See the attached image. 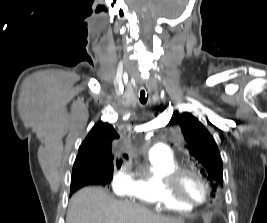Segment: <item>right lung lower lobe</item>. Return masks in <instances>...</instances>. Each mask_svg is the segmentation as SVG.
<instances>
[{
    "label": "right lung lower lobe",
    "instance_id": "obj_1",
    "mask_svg": "<svg viewBox=\"0 0 267 223\" xmlns=\"http://www.w3.org/2000/svg\"><path fill=\"white\" fill-rule=\"evenodd\" d=\"M110 181L111 178H107L105 175L102 174H79L76 176H72L71 194L83 186L92 184L106 185Z\"/></svg>",
    "mask_w": 267,
    "mask_h": 223
}]
</instances>
